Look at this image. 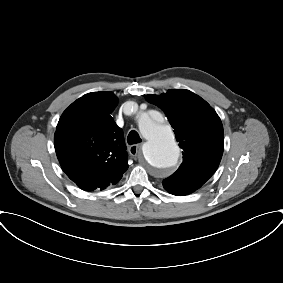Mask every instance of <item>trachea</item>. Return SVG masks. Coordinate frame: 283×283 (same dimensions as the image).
Listing matches in <instances>:
<instances>
[{
    "label": "trachea",
    "mask_w": 283,
    "mask_h": 283,
    "mask_svg": "<svg viewBox=\"0 0 283 283\" xmlns=\"http://www.w3.org/2000/svg\"><path fill=\"white\" fill-rule=\"evenodd\" d=\"M127 141H128V144H137V143H140L142 140L139 134L135 130H132L128 134Z\"/></svg>",
    "instance_id": "1"
}]
</instances>
